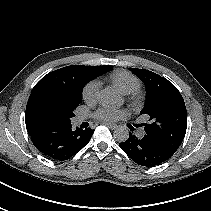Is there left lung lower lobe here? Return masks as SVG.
I'll return each instance as SVG.
<instances>
[{
  "label": "left lung lower lobe",
  "mask_w": 211,
  "mask_h": 211,
  "mask_svg": "<svg viewBox=\"0 0 211 211\" xmlns=\"http://www.w3.org/2000/svg\"><path fill=\"white\" fill-rule=\"evenodd\" d=\"M119 146L134 162L145 167L159 165L174 154L147 135L137 138L130 133L129 138Z\"/></svg>",
  "instance_id": "1"
}]
</instances>
